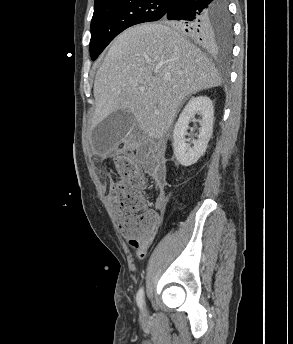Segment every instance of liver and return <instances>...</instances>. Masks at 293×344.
<instances>
[{"label":"liver","mask_w":293,"mask_h":344,"mask_svg":"<svg viewBox=\"0 0 293 344\" xmlns=\"http://www.w3.org/2000/svg\"><path fill=\"white\" fill-rule=\"evenodd\" d=\"M174 27L137 25L113 41L95 77L93 127L126 110L145 134L163 138L187 96L221 84L215 66Z\"/></svg>","instance_id":"1"}]
</instances>
